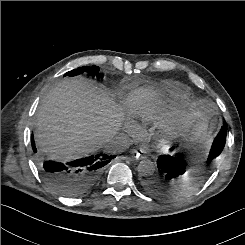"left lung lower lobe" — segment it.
<instances>
[{"instance_id":"left-lung-lower-lobe-1","label":"left lung lower lobe","mask_w":245,"mask_h":245,"mask_svg":"<svg viewBox=\"0 0 245 245\" xmlns=\"http://www.w3.org/2000/svg\"><path fill=\"white\" fill-rule=\"evenodd\" d=\"M226 134L227 131L224 124L213 141L206 163H210L221 154L225 146ZM157 165L159 175L165 182L172 184L180 182L186 174L185 163L176 155H160L157 160ZM143 186L144 189L152 195L163 193L161 190V181L155 176L147 178L144 181Z\"/></svg>"}]
</instances>
